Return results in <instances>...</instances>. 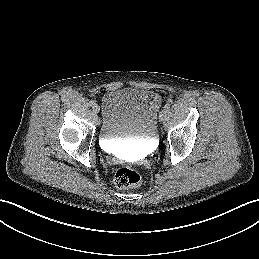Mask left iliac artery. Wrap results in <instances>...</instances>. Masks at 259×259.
Returning a JSON list of instances; mask_svg holds the SVG:
<instances>
[{
    "label": "left iliac artery",
    "instance_id": "left-iliac-artery-1",
    "mask_svg": "<svg viewBox=\"0 0 259 259\" xmlns=\"http://www.w3.org/2000/svg\"><path fill=\"white\" fill-rule=\"evenodd\" d=\"M170 109V103H166L164 106V110L168 111Z\"/></svg>",
    "mask_w": 259,
    "mask_h": 259
}]
</instances>
